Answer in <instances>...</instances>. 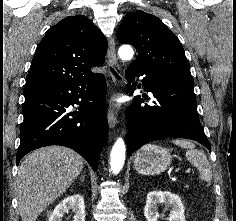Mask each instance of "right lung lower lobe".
<instances>
[{"label":"right lung lower lobe","mask_w":236,"mask_h":221,"mask_svg":"<svg viewBox=\"0 0 236 221\" xmlns=\"http://www.w3.org/2000/svg\"><path fill=\"white\" fill-rule=\"evenodd\" d=\"M17 164L30 151L49 145L72 148L97 168L108 134L102 74L65 81L50 88L24 93ZM78 104V111L69 112Z\"/></svg>","instance_id":"1"}]
</instances>
